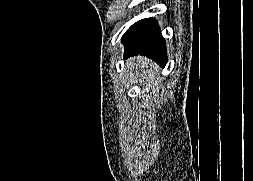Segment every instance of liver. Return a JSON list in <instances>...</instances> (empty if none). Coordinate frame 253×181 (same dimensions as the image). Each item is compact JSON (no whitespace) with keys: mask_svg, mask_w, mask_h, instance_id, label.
I'll return each mask as SVG.
<instances>
[{"mask_svg":"<svg viewBox=\"0 0 253 181\" xmlns=\"http://www.w3.org/2000/svg\"><path fill=\"white\" fill-rule=\"evenodd\" d=\"M159 68L147 58H130L125 63L124 72L131 84H140L150 88L156 82Z\"/></svg>","mask_w":253,"mask_h":181,"instance_id":"liver-1","label":"liver"}]
</instances>
